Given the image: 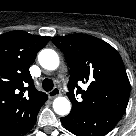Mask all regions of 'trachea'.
Returning <instances> with one entry per match:
<instances>
[{
    "label": "trachea",
    "instance_id": "obj_1",
    "mask_svg": "<svg viewBox=\"0 0 136 136\" xmlns=\"http://www.w3.org/2000/svg\"><path fill=\"white\" fill-rule=\"evenodd\" d=\"M42 87L45 91H50L53 89L54 87V84H53V81L51 79H44L43 82H42Z\"/></svg>",
    "mask_w": 136,
    "mask_h": 136
}]
</instances>
